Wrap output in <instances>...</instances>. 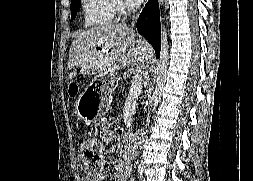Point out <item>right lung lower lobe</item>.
<instances>
[{"instance_id":"1","label":"right lung lower lobe","mask_w":253,"mask_h":181,"mask_svg":"<svg viewBox=\"0 0 253 181\" xmlns=\"http://www.w3.org/2000/svg\"><path fill=\"white\" fill-rule=\"evenodd\" d=\"M137 29L153 46L156 57L161 50V33L158 0H149L140 14Z\"/></svg>"}]
</instances>
